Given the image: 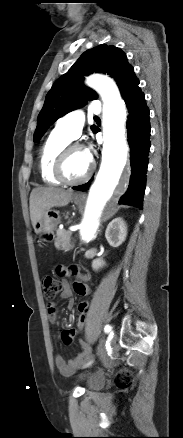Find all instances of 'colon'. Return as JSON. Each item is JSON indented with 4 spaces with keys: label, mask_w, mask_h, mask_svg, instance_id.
<instances>
[{
    "label": "colon",
    "mask_w": 183,
    "mask_h": 438,
    "mask_svg": "<svg viewBox=\"0 0 183 438\" xmlns=\"http://www.w3.org/2000/svg\"><path fill=\"white\" fill-rule=\"evenodd\" d=\"M44 296L47 300H52L60 291V283L51 276H46L42 280ZM89 302L81 301L78 305V322L79 330H83L87 322ZM115 383L119 388H127L133 383V375L128 369H121L115 376Z\"/></svg>",
    "instance_id": "colon-1"
}]
</instances>
